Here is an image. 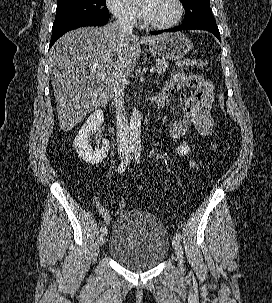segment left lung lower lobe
<instances>
[{"instance_id": "0a47b994", "label": "left lung lower lobe", "mask_w": 272, "mask_h": 303, "mask_svg": "<svg viewBox=\"0 0 272 303\" xmlns=\"http://www.w3.org/2000/svg\"><path fill=\"white\" fill-rule=\"evenodd\" d=\"M191 29H199V30L209 31V32L213 33L218 38V40L221 42L220 33H219L218 27L216 25V22H207V23L187 25V26L181 25L179 27H175V28H172V29L150 32V34L157 35V34H160V33H163V32H175V31L191 30Z\"/></svg>"}]
</instances>
